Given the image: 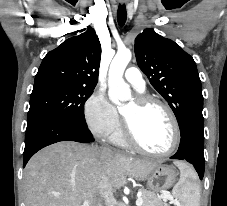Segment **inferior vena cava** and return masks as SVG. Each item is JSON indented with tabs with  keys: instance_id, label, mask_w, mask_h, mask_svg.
<instances>
[{
	"instance_id": "obj_1",
	"label": "inferior vena cava",
	"mask_w": 227,
	"mask_h": 206,
	"mask_svg": "<svg viewBox=\"0 0 227 206\" xmlns=\"http://www.w3.org/2000/svg\"><path fill=\"white\" fill-rule=\"evenodd\" d=\"M103 150H108V148L103 147ZM99 188L101 191V200L97 203V206H113V189L105 176H103Z\"/></svg>"
}]
</instances>
